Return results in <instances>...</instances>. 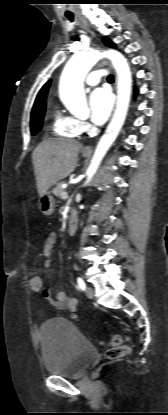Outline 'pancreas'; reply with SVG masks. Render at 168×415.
Segmentation results:
<instances>
[{"label":"pancreas","mask_w":168,"mask_h":415,"mask_svg":"<svg viewBox=\"0 0 168 415\" xmlns=\"http://www.w3.org/2000/svg\"><path fill=\"white\" fill-rule=\"evenodd\" d=\"M63 182H58L55 186V188L53 189V194L57 197H61V193L64 191V189L62 188Z\"/></svg>","instance_id":"obj_1"}]
</instances>
